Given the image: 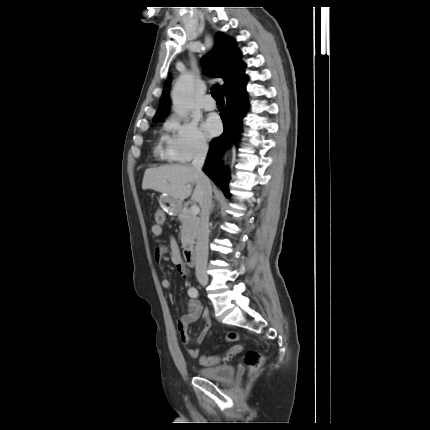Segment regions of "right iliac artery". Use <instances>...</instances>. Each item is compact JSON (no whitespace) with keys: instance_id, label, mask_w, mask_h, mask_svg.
<instances>
[{"instance_id":"82829eb1","label":"right iliac artery","mask_w":430,"mask_h":430,"mask_svg":"<svg viewBox=\"0 0 430 430\" xmlns=\"http://www.w3.org/2000/svg\"><path fill=\"white\" fill-rule=\"evenodd\" d=\"M188 295H189L191 298H197V297H198V295H199V292H198V290H197L195 287H191V288L188 290Z\"/></svg>"}]
</instances>
